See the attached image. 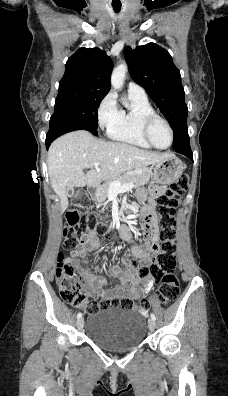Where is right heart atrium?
<instances>
[{"mask_svg": "<svg viewBox=\"0 0 228 396\" xmlns=\"http://www.w3.org/2000/svg\"><path fill=\"white\" fill-rule=\"evenodd\" d=\"M119 107L113 94L108 93L97 108L98 124L102 129H109L119 118Z\"/></svg>", "mask_w": 228, "mask_h": 396, "instance_id": "obj_1", "label": "right heart atrium"}]
</instances>
